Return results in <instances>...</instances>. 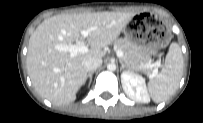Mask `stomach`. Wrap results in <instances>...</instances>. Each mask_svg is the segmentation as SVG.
<instances>
[{
    "label": "stomach",
    "mask_w": 203,
    "mask_h": 123,
    "mask_svg": "<svg viewBox=\"0 0 203 123\" xmlns=\"http://www.w3.org/2000/svg\"><path fill=\"white\" fill-rule=\"evenodd\" d=\"M127 39L136 44L151 59L159 55L161 49L165 48L172 36L169 29L156 17L143 16L137 23L124 28Z\"/></svg>",
    "instance_id": "obj_1"
}]
</instances>
